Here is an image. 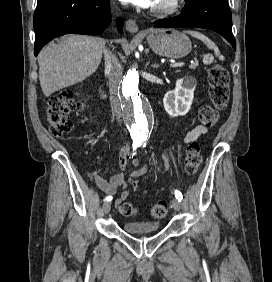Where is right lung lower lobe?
Masks as SVG:
<instances>
[{
  "label": "right lung lower lobe",
  "mask_w": 272,
  "mask_h": 282,
  "mask_svg": "<svg viewBox=\"0 0 272 282\" xmlns=\"http://www.w3.org/2000/svg\"><path fill=\"white\" fill-rule=\"evenodd\" d=\"M110 0H38L34 13V55L52 39L68 33L97 35L110 22ZM123 21L118 19L122 32Z\"/></svg>",
  "instance_id": "obj_1"
}]
</instances>
